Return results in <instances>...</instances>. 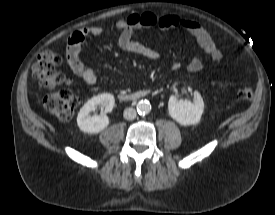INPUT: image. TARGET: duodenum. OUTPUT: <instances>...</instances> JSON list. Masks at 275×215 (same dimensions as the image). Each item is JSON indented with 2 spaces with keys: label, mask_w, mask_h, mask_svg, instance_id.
<instances>
[{
  "label": "duodenum",
  "mask_w": 275,
  "mask_h": 215,
  "mask_svg": "<svg viewBox=\"0 0 275 215\" xmlns=\"http://www.w3.org/2000/svg\"><path fill=\"white\" fill-rule=\"evenodd\" d=\"M150 94L147 90H140L132 93H122L118 95V99L122 102H134L147 97Z\"/></svg>",
  "instance_id": "duodenum-1"
}]
</instances>
